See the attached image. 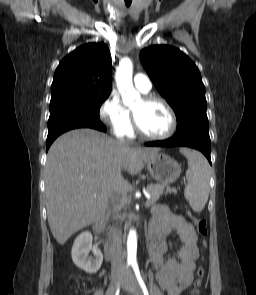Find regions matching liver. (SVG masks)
Listing matches in <instances>:
<instances>
[{
    "mask_svg": "<svg viewBox=\"0 0 256 295\" xmlns=\"http://www.w3.org/2000/svg\"><path fill=\"white\" fill-rule=\"evenodd\" d=\"M158 148L132 147L91 129L69 131L51 145L45 166L48 223L63 245L77 231L99 221L113 194L131 185L122 170L142 171Z\"/></svg>",
    "mask_w": 256,
    "mask_h": 295,
    "instance_id": "6515ba94",
    "label": "liver"
}]
</instances>
